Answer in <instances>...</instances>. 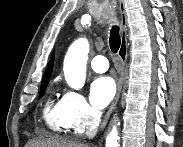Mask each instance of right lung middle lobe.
Listing matches in <instances>:
<instances>
[{
    "instance_id": "obj_1",
    "label": "right lung middle lobe",
    "mask_w": 183,
    "mask_h": 147,
    "mask_svg": "<svg viewBox=\"0 0 183 147\" xmlns=\"http://www.w3.org/2000/svg\"><path fill=\"white\" fill-rule=\"evenodd\" d=\"M46 87H47V85L41 86L40 97L44 94Z\"/></svg>"
}]
</instances>
